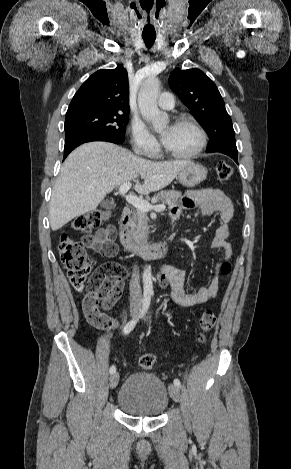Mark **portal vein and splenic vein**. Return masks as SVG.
<instances>
[{
	"label": "portal vein and splenic vein",
	"mask_w": 291,
	"mask_h": 469,
	"mask_svg": "<svg viewBox=\"0 0 291 469\" xmlns=\"http://www.w3.org/2000/svg\"><path fill=\"white\" fill-rule=\"evenodd\" d=\"M131 185L132 184L130 182H126L119 187L120 194H122L125 197L126 201L129 204H131L132 206H134L135 208L143 212H148L150 210H155V211L165 210L166 206L164 204L151 205L148 201L140 199L135 195L127 194L129 189L131 188Z\"/></svg>",
	"instance_id": "1"
}]
</instances>
